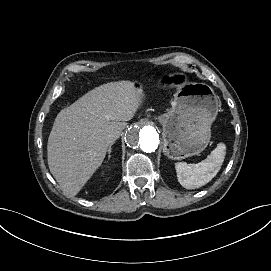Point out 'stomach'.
Returning a JSON list of instances; mask_svg holds the SVG:
<instances>
[{"label":"stomach","instance_id":"obj_1","mask_svg":"<svg viewBox=\"0 0 271 271\" xmlns=\"http://www.w3.org/2000/svg\"><path fill=\"white\" fill-rule=\"evenodd\" d=\"M158 84L163 88L176 87L172 108L158 117L162 124V150L173 160L201 153L211 138V124L218 110V97L204 83H189L181 73L165 74ZM136 88L141 85L135 84Z\"/></svg>","mask_w":271,"mask_h":271}]
</instances>
